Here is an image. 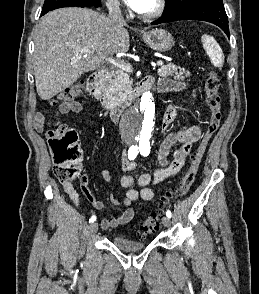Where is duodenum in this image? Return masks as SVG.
Segmentation results:
<instances>
[{
    "label": "duodenum",
    "instance_id": "1",
    "mask_svg": "<svg viewBox=\"0 0 259 294\" xmlns=\"http://www.w3.org/2000/svg\"><path fill=\"white\" fill-rule=\"evenodd\" d=\"M110 75L108 69H101L93 73L87 81V92L97 102H101L104 99L102 88ZM153 86V80L150 77L143 78L135 88L128 100L118 106H115L110 113L111 120L117 123L122 116L123 112L130 107L135 101L139 100L141 96Z\"/></svg>",
    "mask_w": 259,
    "mask_h": 294
}]
</instances>
